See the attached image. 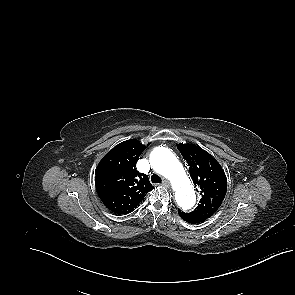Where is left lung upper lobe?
I'll return each instance as SVG.
<instances>
[{
  "label": "left lung upper lobe",
  "mask_w": 295,
  "mask_h": 295,
  "mask_svg": "<svg viewBox=\"0 0 295 295\" xmlns=\"http://www.w3.org/2000/svg\"><path fill=\"white\" fill-rule=\"evenodd\" d=\"M190 167V176L201 195L192 214L211 217L221 206L227 191V178L221 165L208 152L194 144H178Z\"/></svg>",
  "instance_id": "left-lung-upper-lobe-1"
}]
</instances>
